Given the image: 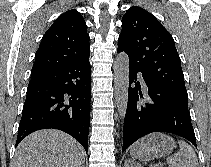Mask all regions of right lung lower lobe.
<instances>
[{
	"label": "right lung lower lobe",
	"mask_w": 211,
	"mask_h": 167,
	"mask_svg": "<svg viewBox=\"0 0 211 167\" xmlns=\"http://www.w3.org/2000/svg\"><path fill=\"white\" fill-rule=\"evenodd\" d=\"M90 101L89 58L31 77L16 146L34 131L53 128L70 134L87 152Z\"/></svg>",
	"instance_id": "1"
}]
</instances>
